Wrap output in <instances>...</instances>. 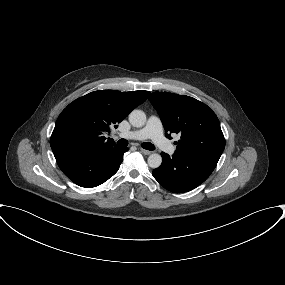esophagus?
<instances>
[{"label": "esophagus", "instance_id": "1", "mask_svg": "<svg viewBox=\"0 0 285 285\" xmlns=\"http://www.w3.org/2000/svg\"><path fill=\"white\" fill-rule=\"evenodd\" d=\"M140 151L144 154V155H150L152 152L149 150H145L143 148L140 149Z\"/></svg>", "mask_w": 285, "mask_h": 285}]
</instances>
